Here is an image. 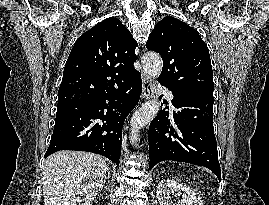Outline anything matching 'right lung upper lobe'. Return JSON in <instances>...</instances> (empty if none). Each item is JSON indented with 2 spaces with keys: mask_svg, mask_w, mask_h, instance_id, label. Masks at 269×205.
I'll return each instance as SVG.
<instances>
[{
  "mask_svg": "<svg viewBox=\"0 0 269 205\" xmlns=\"http://www.w3.org/2000/svg\"><path fill=\"white\" fill-rule=\"evenodd\" d=\"M131 33L114 17L82 34L66 61L58 105L93 98L114 91L137 71Z\"/></svg>",
  "mask_w": 269,
  "mask_h": 205,
  "instance_id": "right-lung-upper-lobe-1",
  "label": "right lung upper lobe"
}]
</instances>
